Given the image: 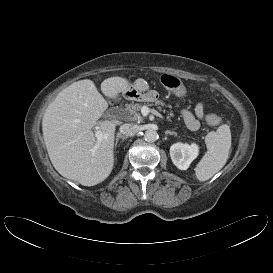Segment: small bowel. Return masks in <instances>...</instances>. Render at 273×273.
I'll return each instance as SVG.
<instances>
[{
    "instance_id": "obj_1",
    "label": "small bowel",
    "mask_w": 273,
    "mask_h": 273,
    "mask_svg": "<svg viewBox=\"0 0 273 273\" xmlns=\"http://www.w3.org/2000/svg\"><path fill=\"white\" fill-rule=\"evenodd\" d=\"M181 116L190 130H197L200 127V122L205 118L204 104L197 103L194 113L187 109L182 110Z\"/></svg>"
}]
</instances>
